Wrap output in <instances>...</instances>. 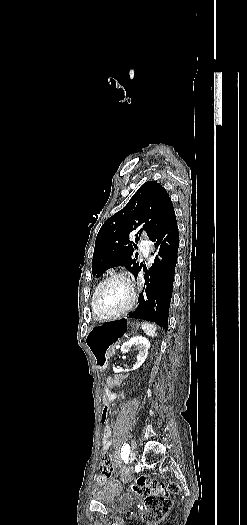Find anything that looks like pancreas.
Listing matches in <instances>:
<instances>
[{
  "label": "pancreas",
  "instance_id": "pancreas-1",
  "mask_svg": "<svg viewBox=\"0 0 247 525\" xmlns=\"http://www.w3.org/2000/svg\"><path fill=\"white\" fill-rule=\"evenodd\" d=\"M114 347L113 346H110L108 349H106V354H108V356H105V359H110L111 355H113L114 353Z\"/></svg>",
  "mask_w": 247,
  "mask_h": 525
}]
</instances>
